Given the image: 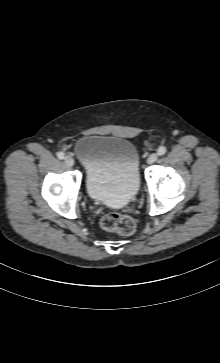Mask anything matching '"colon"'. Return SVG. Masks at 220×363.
<instances>
[{"label": "colon", "instance_id": "1", "mask_svg": "<svg viewBox=\"0 0 220 363\" xmlns=\"http://www.w3.org/2000/svg\"><path fill=\"white\" fill-rule=\"evenodd\" d=\"M101 227L110 232H115L122 236H130L135 232L136 225L132 217L118 213L108 212L100 219Z\"/></svg>", "mask_w": 220, "mask_h": 363}]
</instances>
